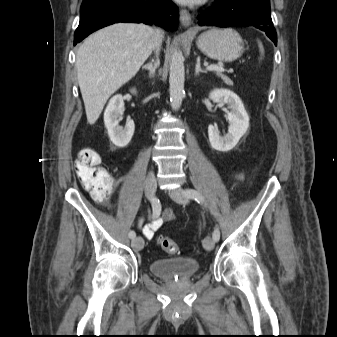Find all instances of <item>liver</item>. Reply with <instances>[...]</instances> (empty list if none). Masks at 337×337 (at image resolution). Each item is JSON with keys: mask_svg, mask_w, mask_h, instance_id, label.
I'll list each match as a JSON object with an SVG mask.
<instances>
[{"mask_svg": "<svg viewBox=\"0 0 337 337\" xmlns=\"http://www.w3.org/2000/svg\"><path fill=\"white\" fill-rule=\"evenodd\" d=\"M156 44L153 28L118 23L90 35L76 56L87 121L94 124L108 98L132 79Z\"/></svg>", "mask_w": 337, "mask_h": 337, "instance_id": "liver-1", "label": "liver"}]
</instances>
